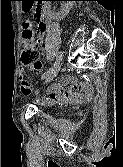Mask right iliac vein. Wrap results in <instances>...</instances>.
I'll return each instance as SVG.
<instances>
[{
    "instance_id": "63e3f726",
    "label": "right iliac vein",
    "mask_w": 123,
    "mask_h": 167,
    "mask_svg": "<svg viewBox=\"0 0 123 167\" xmlns=\"http://www.w3.org/2000/svg\"><path fill=\"white\" fill-rule=\"evenodd\" d=\"M62 59L50 70V72L47 75L46 82L51 81L58 73V71L61 68Z\"/></svg>"
}]
</instances>
